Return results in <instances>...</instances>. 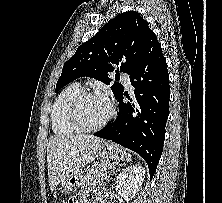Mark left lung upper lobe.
Returning a JSON list of instances; mask_svg holds the SVG:
<instances>
[{
	"instance_id": "obj_1",
	"label": "left lung upper lobe",
	"mask_w": 222,
	"mask_h": 203,
	"mask_svg": "<svg viewBox=\"0 0 222 203\" xmlns=\"http://www.w3.org/2000/svg\"><path fill=\"white\" fill-rule=\"evenodd\" d=\"M150 32L148 23L135 11L121 13L109 20L66 61L55 92L85 76L109 85L108 73L115 70L114 65L129 74L140 60ZM111 89L116 98L124 90L119 82H115Z\"/></svg>"
}]
</instances>
